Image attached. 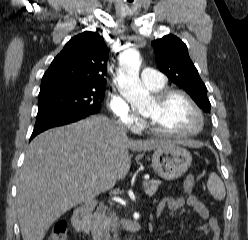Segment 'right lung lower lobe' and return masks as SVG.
I'll use <instances>...</instances> for the list:
<instances>
[{"label":"right lung lower lobe","instance_id":"right-lung-lower-lobe-1","mask_svg":"<svg viewBox=\"0 0 248 240\" xmlns=\"http://www.w3.org/2000/svg\"><path fill=\"white\" fill-rule=\"evenodd\" d=\"M89 115L90 114H77V113L55 112V111L38 113L36 117L34 130L30 140L33 139L39 133L49 128L76 122Z\"/></svg>","mask_w":248,"mask_h":240}]
</instances>
